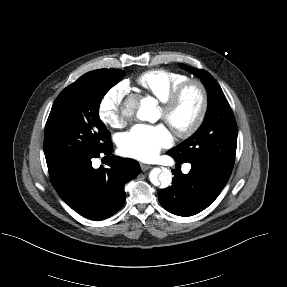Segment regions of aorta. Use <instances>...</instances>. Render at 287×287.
<instances>
[{"instance_id": "762f6f07", "label": "aorta", "mask_w": 287, "mask_h": 287, "mask_svg": "<svg viewBox=\"0 0 287 287\" xmlns=\"http://www.w3.org/2000/svg\"><path fill=\"white\" fill-rule=\"evenodd\" d=\"M156 109V103L151 98L129 96L122 107V114L131 117L136 114L140 120L149 121ZM172 172L167 168H153L149 174L151 183L161 188H167L172 183Z\"/></svg>"}]
</instances>
